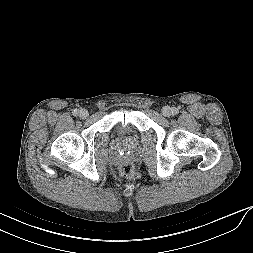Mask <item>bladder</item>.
Wrapping results in <instances>:
<instances>
[{
    "label": "bladder",
    "mask_w": 253,
    "mask_h": 253,
    "mask_svg": "<svg viewBox=\"0 0 253 253\" xmlns=\"http://www.w3.org/2000/svg\"><path fill=\"white\" fill-rule=\"evenodd\" d=\"M132 129L131 123L118 122L116 124V130L120 133H126Z\"/></svg>",
    "instance_id": "bladder-1"
}]
</instances>
